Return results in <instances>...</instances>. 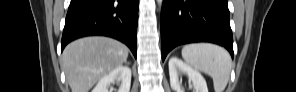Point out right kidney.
I'll use <instances>...</instances> for the list:
<instances>
[{"label": "right kidney", "mask_w": 296, "mask_h": 92, "mask_svg": "<svg viewBox=\"0 0 296 92\" xmlns=\"http://www.w3.org/2000/svg\"><path fill=\"white\" fill-rule=\"evenodd\" d=\"M115 82L120 83L117 92H129L131 86V69L128 66H119L102 77L92 92H113L109 87Z\"/></svg>", "instance_id": "right-kidney-1"}]
</instances>
